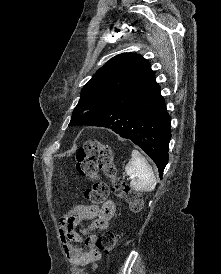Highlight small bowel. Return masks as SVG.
<instances>
[{
  "label": "small bowel",
  "mask_w": 221,
  "mask_h": 274,
  "mask_svg": "<svg viewBox=\"0 0 221 274\" xmlns=\"http://www.w3.org/2000/svg\"><path fill=\"white\" fill-rule=\"evenodd\" d=\"M115 204L112 200H106L101 206L77 205L59 222V233L65 255L71 263L78 267H96L100 259V251L96 248L97 237L86 231V236L77 227L86 220H91V230L104 231L108 227L110 219L115 213ZM84 242L87 249H83L78 243Z\"/></svg>",
  "instance_id": "1"
}]
</instances>
